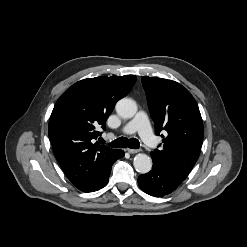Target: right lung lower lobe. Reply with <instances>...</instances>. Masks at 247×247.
Here are the masks:
<instances>
[{
    "label": "right lung lower lobe",
    "instance_id": "right-lung-lower-lobe-1",
    "mask_svg": "<svg viewBox=\"0 0 247 247\" xmlns=\"http://www.w3.org/2000/svg\"><path fill=\"white\" fill-rule=\"evenodd\" d=\"M123 156H124V152L122 150H118L117 154L115 155V160H117ZM110 170H111V168H110ZM110 170L107 173V175L104 177V179L95 188L91 189L88 192L97 191V190L101 189L102 187H104L108 183V178L110 176Z\"/></svg>",
    "mask_w": 247,
    "mask_h": 247
}]
</instances>
